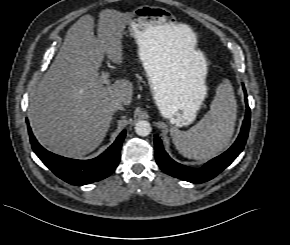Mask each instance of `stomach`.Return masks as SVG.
<instances>
[{
    "instance_id": "obj_1",
    "label": "stomach",
    "mask_w": 290,
    "mask_h": 245,
    "mask_svg": "<svg viewBox=\"0 0 290 245\" xmlns=\"http://www.w3.org/2000/svg\"><path fill=\"white\" fill-rule=\"evenodd\" d=\"M158 7L139 8L130 19V32L138 44L154 100L163 117L175 127L190 125L207 95V67L201 53L184 68L174 58L165 32L169 16Z\"/></svg>"
}]
</instances>
